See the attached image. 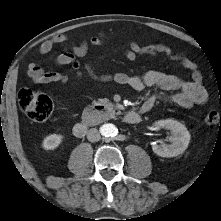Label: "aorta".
<instances>
[{
	"label": "aorta",
	"mask_w": 221,
	"mask_h": 221,
	"mask_svg": "<svg viewBox=\"0 0 221 221\" xmlns=\"http://www.w3.org/2000/svg\"><path fill=\"white\" fill-rule=\"evenodd\" d=\"M100 130L104 136H113L117 131L113 124H104Z\"/></svg>",
	"instance_id": "aorta-1"
}]
</instances>
